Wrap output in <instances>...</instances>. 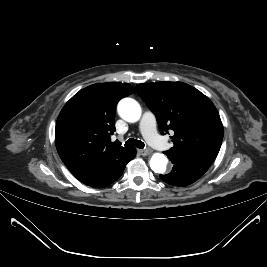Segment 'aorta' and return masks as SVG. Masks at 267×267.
<instances>
[{
  "mask_svg": "<svg viewBox=\"0 0 267 267\" xmlns=\"http://www.w3.org/2000/svg\"><path fill=\"white\" fill-rule=\"evenodd\" d=\"M118 114L127 122H137L142 114L140 104L132 98L122 99L117 106ZM168 159L164 154L154 153L149 161L151 169L155 173H165Z\"/></svg>",
  "mask_w": 267,
  "mask_h": 267,
  "instance_id": "obj_1",
  "label": "aorta"
}]
</instances>
